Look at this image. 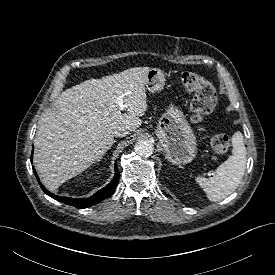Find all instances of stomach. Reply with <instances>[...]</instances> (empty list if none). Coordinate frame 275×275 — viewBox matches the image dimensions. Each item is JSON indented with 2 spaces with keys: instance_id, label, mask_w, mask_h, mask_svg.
Returning a JSON list of instances; mask_svg holds the SVG:
<instances>
[{
  "instance_id": "1",
  "label": "stomach",
  "mask_w": 275,
  "mask_h": 275,
  "mask_svg": "<svg viewBox=\"0 0 275 275\" xmlns=\"http://www.w3.org/2000/svg\"><path fill=\"white\" fill-rule=\"evenodd\" d=\"M165 74L159 68L148 71L145 85L150 92H157L165 85ZM156 135L165 153V158L174 165L190 163L196 156L197 143L194 133L184 114L170 106L161 116Z\"/></svg>"
}]
</instances>
